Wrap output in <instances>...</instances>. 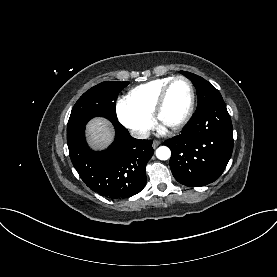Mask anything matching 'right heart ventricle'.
<instances>
[{
    "instance_id": "1",
    "label": "right heart ventricle",
    "mask_w": 277,
    "mask_h": 277,
    "mask_svg": "<svg viewBox=\"0 0 277 277\" xmlns=\"http://www.w3.org/2000/svg\"><path fill=\"white\" fill-rule=\"evenodd\" d=\"M172 78H158L140 84L132 88L126 98L136 109L151 116L161 90Z\"/></svg>"
}]
</instances>
